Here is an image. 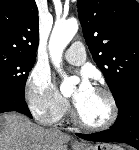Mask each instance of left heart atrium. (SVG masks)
Wrapping results in <instances>:
<instances>
[{"label":"left heart atrium","instance_id":"left-heart-atrium-1","mask_svg":"<svg viewBox=\"0 0 139 150\" xmlns=\"http://www.w3.org/2000/svg\"><path fill=\"white\" fill-rule=\"evenodd\" d=\"M92 89V86L86 76L83 77V81L81 85L79 86V92L80 93H86Z\"/></svg>","mask_w":139,"mask_h":150}]
</instances>
